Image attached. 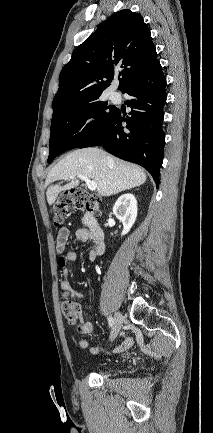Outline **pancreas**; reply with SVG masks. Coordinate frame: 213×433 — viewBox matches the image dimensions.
Returning <instances> with one entry per match:
<instances>
[{
	"label": "pancreas",
	"instance_id": "cf45deb5",
	"mask_svg": "<svg viewBox=\"0 0 213 433\" xmlns=\"http://www.w3.org/2000/svg\"><path fill=\"white\" fill-rule=\"evenodd\" d=\"M87 217H88V214H86V215L82 218V222H83V223H86Z\"/></svg>",
	"mask_w": 213,
	"mask_h": 433
}]
</instances>
